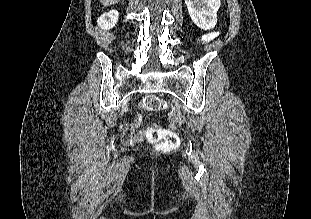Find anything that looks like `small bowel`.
Returning <instances> with one entry per match:
<instances>
[{
	"label": "small bowel",
	"instance_id": "obj_1",
	"mask_svg": "<svg viewBox=\"0 0 311 219\" xmlns=\"http://www.w3.org/2000/svg\"><path fill=\"white\" fill-rule=\"evenodd\" d=\"M142 123V117L137 116L130 124L129 126V131H128V136L127 139L128 140H133L135 137V133L134 130L137 129L140 124Z\"/></svg>",
	"mask_w": 311,
	"mask_h": 219
}]
</instances>
